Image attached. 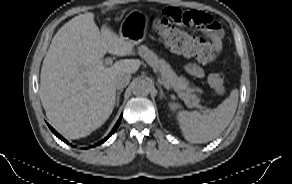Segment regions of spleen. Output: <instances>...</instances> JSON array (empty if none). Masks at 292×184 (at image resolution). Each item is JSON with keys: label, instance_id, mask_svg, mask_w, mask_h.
Masks as SVG:
<instances>
[{"label": "spleen", "instance_id": "1", "mask_svg": "<svg viewBox=\"0 0 292 184\" xmlns=\"http://www.w3.org/2000/svg\"><path fill=\"white\" fill-rule=\"evenodd\" d=\"M238 96V90H232L228 98L208 112L179 111L176 119L184 138L191 143H205L216 138L234 117Z\"/></svg>", "mask_w": 292, "mask_h": 184}]
</instances>
